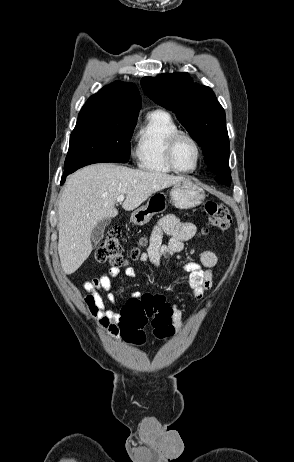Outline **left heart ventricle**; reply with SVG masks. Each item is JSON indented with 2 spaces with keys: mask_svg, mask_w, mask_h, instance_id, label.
I'll return each instance as SVG.
<instances>
[{
  "mask_svg": "<svg viewBox=\"0 0 294 462\" xmlns=\"http://www.w3.org/2000/svg\"><path fill=\"white\" fill-rule=\"evenodd\" d=\"M196 158V149L193 144L187 139L179 140L174 151L177 166L184 170L192 169L196 164Z\"/></svg>",
  "mask_w": 294,
  "mask_h": 462,
  "instance_id": "b2bd125f",
  "label": "left heart ventricle"
}]
</instances>
